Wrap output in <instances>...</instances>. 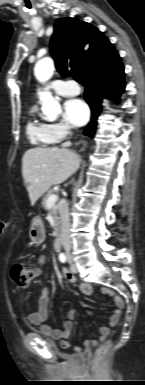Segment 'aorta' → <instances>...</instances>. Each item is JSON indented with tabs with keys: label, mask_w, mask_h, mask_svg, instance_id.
Listing matches in <instances>:
<instances>
[{
	"label": "aorta",
	"mask_w": 145,
	"mask_h": 385,
	"mask_svg": "<svg viewBox=\"0 0 145 385\" xmlns=\"http://www.w3.org/2000/svg\"><path fill=\"white\" fill-rule=\"evenodd\" d=\"M54 73V63L51 58H44L38 61L34 68L36 79L44 84ZM39 98L42 102V112L49 120H54L61 113V106L52 94L48 91L39 92Z\"/></svg>",
	"instance_id": "aorta-1"
}]
</instances>
